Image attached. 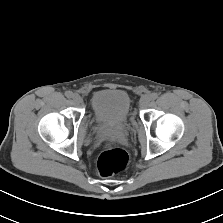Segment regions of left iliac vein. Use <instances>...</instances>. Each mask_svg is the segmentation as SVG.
Listing matches in <instances>:
<instances>
[{"label": "left iliac vein", "instance_id": "4c4485c4", "mask_svg": "<svg viewBox=\"0 0 223 223\" xmlns=\"http://www.w3.org/2000/svg\"><path fill=\"white\" fill-rule=\"evenodd\" d=\"M150 100L151 99L149 95H144L143 97H141L139 102L140 108H145L149 104Z\"/></svg>", "mask_w": 223, "mask_h": 223}]
</instances>
